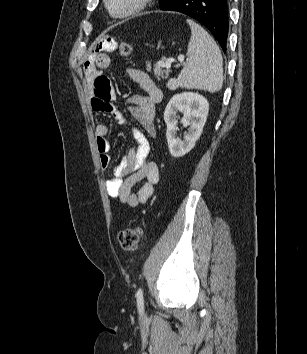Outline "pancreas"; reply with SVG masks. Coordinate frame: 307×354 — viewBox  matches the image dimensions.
Wrapping results in <instances>:
<instances>
[{
  "label": "pancreas",
  "instance_id": "pancreas-1",
  "mask_svg": "<svg viewBox=\"0 0 307 354\" xmlns=\"http://www.w3.org/2000/svg\"><path fill=\"white\" fill-rule=\"evenodd\" d=\"M150 70H151L150 67H148V68H147V71H150ZM153 75H154V77H156L158 80H160L161 77H162V78H167L168 75H169V70H168V69H164V67L161 66V65L159 64V62H158V63H156V64L154 65V68H153Z\"/></svg>",
  "mask_w": 307,
  "mask_h": 354
}]
</instances>
